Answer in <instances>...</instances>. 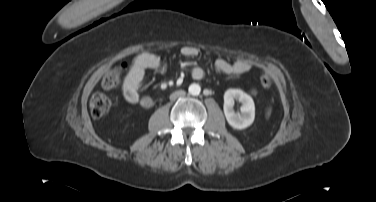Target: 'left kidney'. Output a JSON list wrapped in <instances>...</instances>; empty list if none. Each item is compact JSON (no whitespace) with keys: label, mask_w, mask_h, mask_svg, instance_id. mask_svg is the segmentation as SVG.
<instances>
[{"label":"left kidney","mask_w":376,"mask_h":202,"mask_svg":"<svg viewBox=\"0 0 376 202\" xmlns=\"http://www.w3.org/2000/svg\"><path fill=\"white\" fill-rule=\"evenodd\" d=\"M234 100L241 103V113L233 109ZM224 114L227 122L235 129H244L250 126L255 118V105L253 99L240 89H228L224 93Z\"/></svg>","instance_id":"obj_1"}]
</instances>
